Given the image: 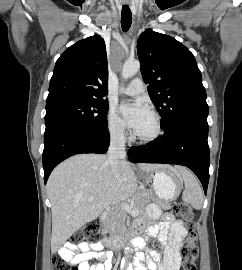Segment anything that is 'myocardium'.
Listing matches in <instances>:
<instances>
[{
  "label": "myocardium",
  "instance_id": "f54148a6",
  "mask_svg": "<svg viewBox=\"0 0 242 270\" xmlns=\"http://www.w3.org/2000/svg\"><path fill=\"white\" fill-rule=\"evenodd\" d=\"M151 116L153 117L154 120V132L147 137H141L136 135V133H134L133 139L139 144L142 145L154 144L161 138L163 134V124L160 116L155 112H151Z\"/></svg>",
  "mask_w": 242,
  "mask_h": 270
}]
</instances>
